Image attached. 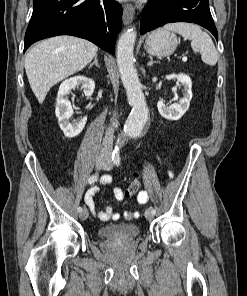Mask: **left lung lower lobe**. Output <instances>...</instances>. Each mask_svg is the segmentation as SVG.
<instances>
[{
  "instance_id": "1",
  "label": "left lung lower lobe",
  "mask_w": 247,
  "mask_h": 296,
  "mask_svg": "<svg viewBox=\"0 0 247 296\" xmlns=\"http://www.w3.org/2000/svg\"><path fill=\"white\" fill-rule=\"evenodd\" d=\"M172 22L199 24L208 29L218 41L209 0H149L142 12L140 33L144 34Z\"/></svg>"
}]
</instances>
